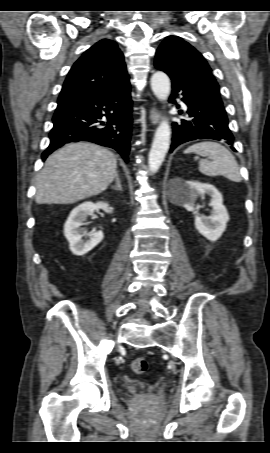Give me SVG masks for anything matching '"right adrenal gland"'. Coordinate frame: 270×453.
Wrapping results in <instances>:
<instances>
[{
  "mask_svg": "<svg viewBox=\"0 0 270 453\" xmlns=\"http://www.w3.org/2000/svg\"><path fill=\"white\" fill-rule=\"evenodd\" d=\"M115 182H116V184L112 185L111 188L116 191H122L121 181H120L118 172H116V174H115Z\"/></svg>",
  "mask_w": 270,
  "mask_h": 453,
  "instance_id": "2a0ac1e0",
  "label": "right adrenal gland"
}]
</instances>
